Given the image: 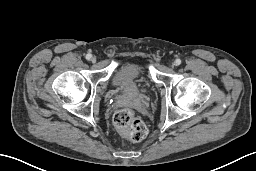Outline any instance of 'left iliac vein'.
Masks as SVG:
<instances>
[{"label":"left iliac vein","instance_id":"left-iliac-vein-1","mask_svg":"<svg viewBox=\"0 0 256 171\" xmlns=\"http://www.w3.org/2000/svg\"><path fill=\"white\" fill-rule=\"evenodd\" d=\"M173 65H174V66H177V65H176V62H174Z\"/></svg>","mask_w":256,"mask_h":171}]
</instances>
